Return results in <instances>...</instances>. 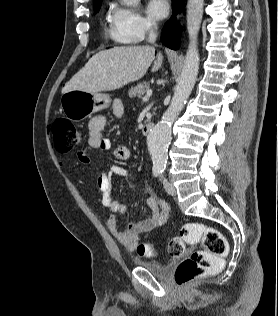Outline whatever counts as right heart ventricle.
Returning <instances> with one entry per match:
<instances>
[{"mask_svg":"<svg viewBox=\"0 0 278 316\" xmlns=\"http://www.w3.org/2000/svg\"><path fill=\"white\" fill-rule=\"evenodd\" d=\"M107 31H108L109 35H110L113 39H115V37H114V32H113V27L110 26ZM115 40H116V39H115ZM116 41H117V40H116Z\"/></svg>","mask_w":278,"mask_h":316,"instance_id":"obj_1","label":"right heart ventricle"}]
</instances>
